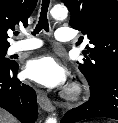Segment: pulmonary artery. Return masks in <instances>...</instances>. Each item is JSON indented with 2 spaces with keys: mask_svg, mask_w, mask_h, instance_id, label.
Here are the masks:
<instances>
[{
  "mask_svg": "<svg viewBox=\"0 0 118 123\" xmlns=\"http://www.w3.org/2000/svg\"><path fill=\"white\" fill-rule=\"evenodd\" d=\"M55 38L58 41L67 42V41H71L74 38V34L72 33L70 28L61 27L56 30ZM41 45L42 42L40 40L31 37L27 40L14 43L10 47V53L17 54V53L34 50L39 48Z\"/></svg>",
  "mask_w": 118,
  "mask_h": 123,
  "instance_id": "1",
  "label": "pulmonary artery"
}]
</instances>
